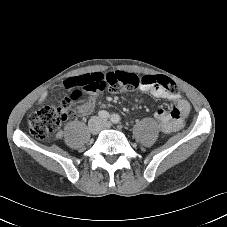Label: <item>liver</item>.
I'll return each instance as SVG.
<instances>
[{
    "mask_svg": "<svg viewBox=\"0 0 227 227\" xmlns=\"http://www.w3.org/2000/svg\"><path fill=\"white\" fill-rule=\"evenodd\" d=\"M46 96H47V91L42 94V96L39 100V103H41L46 98Z\"/></svg>",
    "mask_w": 227,
    "mask_h": 227,
    "instance_id": "obj_1",
    "label": "liver"
}]
</instances>
